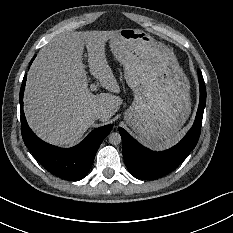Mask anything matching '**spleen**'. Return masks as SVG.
Wrapping results in <instances>:
<instances>
[{"label": "spleen", "instance_id": "obj_1", "mask_svg": "<svg viewBox=\"0 0 233 233\" xmlns=\"http://www.w3.org/2000/svg\"><path fill=\"white\" fill-rule=\"evenodd\" d=\"M185 133L184 130H182L180 133L177 134V136L175 138H173L170 142H168L167 144L165 145H162V146H159V147H156V148H159V149H162L163 147H170L171 145L175 144L181 137L182 135Z\"/></svg>", "mask_w": 233, "mask_h": 233}]
</instances>
